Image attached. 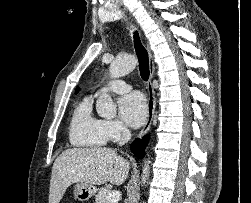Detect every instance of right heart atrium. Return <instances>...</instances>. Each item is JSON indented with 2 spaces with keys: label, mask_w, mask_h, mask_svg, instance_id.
Here are the masks:
<instances>
[{
  "label": "right heart atrium",
  "mask_w": 251,
  "mask_h": 203,
  "mask_svg": "<svg viewBox=\"0 0 251 203\" xmlns=\"http://www.w3.org/2000/svg\"><path fill=\"white\" fill-rule=\"evenodd\" d=\"M102 129L107 141H115L127 132L124 124L119 120H102Z\"/></svg>",
  "instance_id": "right-heart-atrium-1"
}]
</instances>
